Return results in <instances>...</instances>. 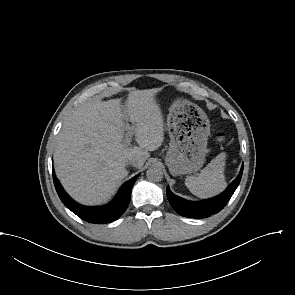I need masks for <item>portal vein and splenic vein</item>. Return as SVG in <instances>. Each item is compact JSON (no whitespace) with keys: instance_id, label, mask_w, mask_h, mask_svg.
<instances>
[{"instance_id":"1","label":"portal vein and splenic vein","mask_w":295,"mask_h":295,"mask_svg":"<svg viewBox=\"0 0 295 295\" xmlns=\"http://www.w3.org/2000/svg\"><path fill=\"white\" fill-rule=\"evenodd\" d=\"M127 129H128V132L126 133L124 144L129 145L133 136V132L129 124H127Z\"/></svg>"}]
</instances>
